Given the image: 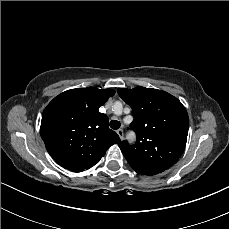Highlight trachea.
Returning a JSON list of instances; mask_svg holds the SVG:
<instances>
[{
	"instance_id": "obj_1",
	"label": "trachea",
	"mask_w": 229,
	"mask_h": 229,
	"mask_svg": "<svg viewBox=\"0 0 229 229\" xmlns=\"http://www.w3.org/2000/svg\"><path fill=\"white\" fill-rule=\"evenodd\" d=\"M120 126H121V124H120V122L117 121V120H112V121L110 122V127H111L112 129H114V130L119 129Z\"/></svg>"
}]
</instances>
